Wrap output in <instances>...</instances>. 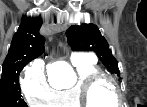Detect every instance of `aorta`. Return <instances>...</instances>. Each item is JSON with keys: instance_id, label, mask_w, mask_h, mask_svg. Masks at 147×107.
<instances>
[{"instance_id": "aorta-1", "label": "aorta", "mask_w": 147, "mask_h": 107, "mask_svg": "<svg viewBox=\"0 0 147 107\" xmlns=\"http://www.w3.org/2000/svg\"><path fill=\"white\" fill-rule=\"evenodd\" d=\"M47 73L48 76L50 77V80H52L54 76L58 78L56 85L59 86L71 85L73 84L75 79V74L73 72V69L67 62L64 61H59L49 64L47 66Z\"/></svg>"}]
</instances>
